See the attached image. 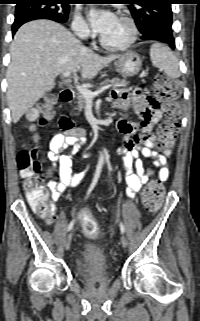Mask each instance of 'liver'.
<instances>
[{
  "label": "liver",
  "instance_id": "6515ba94",
  "mask_svg": "<svg viewBox=\"0 0 200 321\" xmlns=\"http://www.w3.org/2000/svg\"><path fill=\"white\" fill-rule=\"evenodd\" d=\"M119 57L94 53L54 21L35 20L24 24L11 44L7 70V101L13 123L53 89L54 80L61 73L81 69L83 80L92 79Z\"/></svg>",
  "mask_w": 200,
  "mask_h": 321
}]
</instances>
